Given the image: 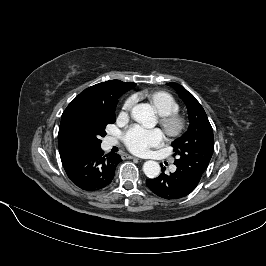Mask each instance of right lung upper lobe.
Returning a JSON list of instances; mask_svg holds the SVG:
<instances>
[{
    "instance_id": "right-lung-upper-lobe-1",
    "label": "right lung upper lobe",
    "mask_w": 266,
    "mask_h": 266,
    "mask_svg": "<svg viewBox=\"0 0 266 266\" xmlns=\"http://www.w3.org/2000/svg\"><path fill=\"white\" fill-rule=\"evenodd\" d=\"M135 83L111 80L91 86L77 95L62 114L58 133L60 157L79 150L68 131V119L80 106L111 108L117 104L119 97L135 87Z\"/></svg>"
}]
</instances>
